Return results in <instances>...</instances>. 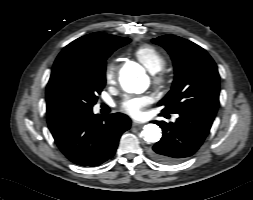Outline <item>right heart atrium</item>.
Here are the masks:
<instances>
[{
	"mask_svg": "<svg viewBox=\"0 0 253 200\" xmlns=\"http://www.w3.org/2000/svg\"><path fill=\"white\" fill-rule=\"evenodd\" d=\"M105 80L106 82L110 83L115 79L116 75V65L113 62L107 64L105 68Z\"/></svg>",
	"mask_w": 253,
	"mask_h": 200,
	"instance_id": "1",
	"label": "right heart atrium"
}]
</instances>
